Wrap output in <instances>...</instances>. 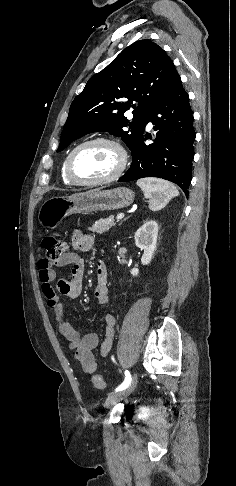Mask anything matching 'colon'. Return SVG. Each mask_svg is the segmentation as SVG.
<instances>
[{
	"label": "colon",
	"instance_id": "1",
	"mask_svg": "<svg viewBox=\"0 0 236 486\" xmlns=\"http://www.w3.org/2000/svg\"><path fill=\"white\" fill-rule=\"evenodd\" d=\"M42 245L46 252V259L51 262L57 261L65 253L66 244L56 235L45 236ZM92 381L97 389L104 390L106 388V383L100 374H95Z\"/></svg>",
	"mask_w": 236,
	"mask_h": 486
}]
</instances>
